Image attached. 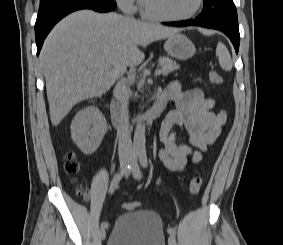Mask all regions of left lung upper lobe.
I'll return each instance as SVG.
<instances>
[{
	"mask_svg": "<svg viewBox=\"0 0 283 245\" xmlns=\"http://www.w3.org/2000/svg\"><path fill=\"white\" fill-rule=\"evenodd\" d=\"M196 19L199 22L219 24L239 30L237 11L232 0H204L202 13Z\"/></svg>",
	"mask_w": 283,
	"mask_h": 245,
	"instance_id": "left-lung-upper-lobe-1",
	"label": "left lung upper lobe"
}]
</instances>
